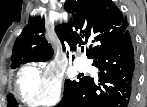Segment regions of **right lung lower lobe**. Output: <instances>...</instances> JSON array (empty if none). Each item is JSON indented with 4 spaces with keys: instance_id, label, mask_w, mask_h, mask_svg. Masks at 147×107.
<instances>
[{
    "instance_id": "right-lung-lower-lobe-1",
    "label": "right lung lower lobe",
    "mask_w": 147,
    "mask_h": 107,
    "mask_svg": "<svg viewBox=\"0 0 147 107\" xmlns=\"http://www.w3.org/2000/svg\"><path fill=\"white\" fill-rule=\"evenodd\" d=\"M98 78L84 77L56 107H132L137 83V59L128 30L92 64Z\"/></svg>"
}]
</instances>
